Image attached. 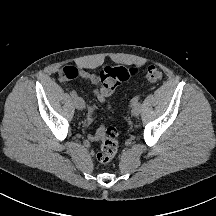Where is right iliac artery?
Returning <instances> with one entry per match:
<instances>
[{
	"label": "right iliac artery",
	"instance_id": "obj_1",
	"mask_svg": "<svg viewBox=\"0 0 216 216\" xmlns=\"http://www.w3.org/2000/svg\"><path fill=\"white\" fill-rule=\"evenodd\" d=\"M70 95L72 96V98H76L77 97V94L75 91H71Z\"/></svg>",
	"mask_w": 216,
	"mask_h": 216
}]
</instances>
